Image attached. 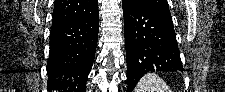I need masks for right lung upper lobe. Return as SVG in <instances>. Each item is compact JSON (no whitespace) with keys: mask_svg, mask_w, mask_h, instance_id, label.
<instances>
[{"mask_svg":"<svg viewBox=\"0 0 225 92\" xmlns=\"http://www.w3.org/2000/svg\"><path fill=\"white\" fill-rule=\"evenodd\" d=\"M98 11L97 0H55L52 27H58Z\"/></svg>","mask_w":225,"mask_h":92,"instance_id":"right-lung-upper-lobe-1","label":"right lung upper lobe"}]
</instances>
